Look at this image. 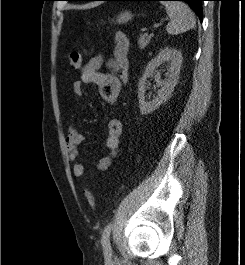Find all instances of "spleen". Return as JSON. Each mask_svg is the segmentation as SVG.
Instances as JSON below:
<instances>
[{
    "label": "spleen",
    "instance_id": "3e777b00",
    "mask_svg": "<svg viewBox=\"0 0 245 265\" xmlns=\"http://www.w3.org/2000/svg\"><path fill=\"white\" fill-rule=\"evenodd\" d=\"M170 22L166 26V31L171 35L186 32L195 27V15L191 9L183 2L163 1Z\"/></svg>",
    "mask_w": 245,
    "mask_h": 265
}]
</instances>
